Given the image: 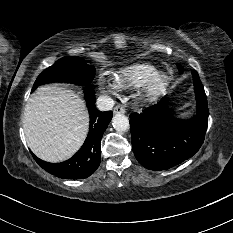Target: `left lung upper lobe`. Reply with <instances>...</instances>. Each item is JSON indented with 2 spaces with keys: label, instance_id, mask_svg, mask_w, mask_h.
Here are the masks:
<instances>
[{
  "label": "left lung upper lobe",
  "instance_id": "left-lung-upper-lobe-1",
  "mask_svg": "<svg viewBox=\"0 0 233 233\" xmlns=\"http://www.w3.org/2000/svg\"><path fill=\"white\" fill-rule=\"evenodd\" d=\"M178 66V69H179V71H180V73H182L183 72V68H182V66L181 65H177Z\"/></svg>",
  "mask_w": 233,
  "mask_h": 233
}]
</instances>
